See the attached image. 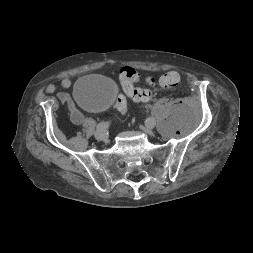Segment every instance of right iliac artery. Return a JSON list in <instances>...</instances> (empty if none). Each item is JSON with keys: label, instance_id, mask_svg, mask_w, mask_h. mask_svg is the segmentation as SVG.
<instances>
[{"label": "right iliac artery", "instance_id": "right-iliac-artery-1", "mask_svg": "<svg viewBox=\"0 0 253 253\" xmlns=\"http://www.w3.org/2000/svg\"><path fill=\"white\" fill-rule=\"evenodd\" d=\"M108 126H109V123H108V122H100V123L96 126V130H105Z\"/></svg>", "mask_w": 253, "mask_h": 253}]
</instances>
